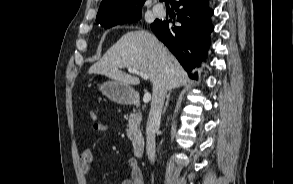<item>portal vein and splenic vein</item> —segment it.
<instances>
[{"instance_id":"portal-vein-and-splenic-vein-1","label":"portal vein and splenic vein","mask_w":293,"mask_h":184,"mask_svg":"<svg viewBox=\"0 0 293 184\" xmlns=\"http://www.w3.org/2000/svg\"><path fill=\"white\" fill-rule=\"evenodd\" d=\"M128 71H129L130 73L137 74V75L141 76V77H142L143 79H145V80H148V79H149V77H148L147 74H145V73H143V72H140V71H138V70H136V69H134V68H128ZM150 100H151V93L146 92V93L144 94V96H143V102H144V103H148Z\"/></svg>"}]
</instances>
